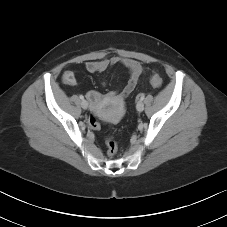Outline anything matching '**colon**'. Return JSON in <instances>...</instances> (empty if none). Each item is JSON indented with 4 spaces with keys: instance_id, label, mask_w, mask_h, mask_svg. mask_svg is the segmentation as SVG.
<instances>
[{
    "instance_id": "obj_1",
    "label": "colon",
    "mask_w": 227,
    "mask_h": 227,
    "mask_svg": "<svg viewBox=\"0 0 227 227\" xmlns=\"http://www.w3.org/2000/svg\"><path fill=\"white\" fill-rule=\"evenodd\" d=\"M150 82L152 84L153 87L155 88H160L162 86V79L159 75L154 74L152 75ZM88 124L89 127L93 130V131H99L101 128V124L98 120V118L94 115H91L88 119ZM106 145H107V153L110 157H113L116 155L117 153V143L112 139V138H108L106 140Z\"/></svg>"
}]
</instances>
